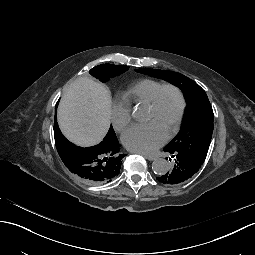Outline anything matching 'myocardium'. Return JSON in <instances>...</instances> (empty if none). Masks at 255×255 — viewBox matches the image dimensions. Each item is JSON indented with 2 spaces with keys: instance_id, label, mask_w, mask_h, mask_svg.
Masks as SVG:
<instances>
[{
  "instance_id": "obj_1",
  "label": "myocardium",
  "mask_w": 255,
  "mask_h": 255,
  "mask_svg": "<svg viewBox=\"0 0 255 255\" xmlns=\"http://www.w3.org/2000/svg\"><path fill=\"white\" fill-rule=\"evenodd\" d=\"M165 89L174 90L176 92V94L178 96V100H179V107H178V112H177V116L175 119V126H174L173 130L170 132V134L166 137L167 140H170L174 136H176L177 133L179 132L183 114H184V110H185V98H184L182 90L177 85L172 84V83L161 84L152 94L150 100L147 103V107L150 109H154L157 106L158 99H159L161 92Z\"/></svg>"
}]
</instances>
